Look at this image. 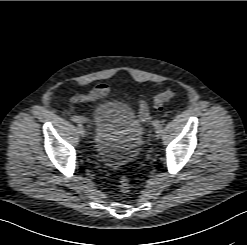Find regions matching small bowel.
I'll list each match as a JSON object with an SVG mask.
<instances>
[{"label": "small bowel", "instance_id": "1", "mask_svg": "<svg viewBox=\"0 0 247 245\" xmlns=\"http://www.w3.org/2000/svg\"><path fill=\"white\" fill-rule=\"evenodd\" d=\"M110 88L106 83H99L87 93H77L70 99L69 109L71 112L74 111V105L77 103H85L92 101H101L109 93ZM138 118L141 122L147 123L151 119L149 106L144 99L138 101Z\"/></svg>", "mask_w": 247, "mask_h": 245}]
</instances>
